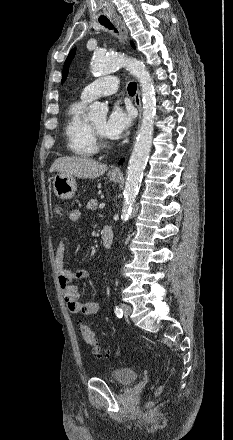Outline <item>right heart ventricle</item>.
<instances>
[{"label": "right heart ventricle", "mask_w": 233, "mask_h": 440, "mask_svg": "<svg viewBox=\"0 0 233 440\" xmlns=\"http://www.w3.org/2000/svg\"><path fill=\"white\" fill-rule=\"evenodd\" d=\"M85 102L72 103L67 111L65 136L71 154L88 158L98 152V145L90 130L89 122L84 118Z\"/></svg>", "instance_id": "obj_1"}]
</instances>
